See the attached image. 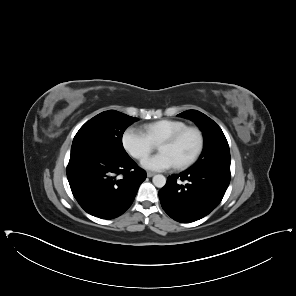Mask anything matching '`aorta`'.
<instances>
[{
	"mask_svg": "<svg viewBox=\"0 0 296 296\" xmlns=\"http://www.w3.org/2000/svg\"><path fill=\"white\" fill-rule=\"evenodd\" d=\"M152 181H153V184L158 188H162L166 184V178L162 174L155 175Z\"/></svg>",
	"mask_w": 296,
	"mask_h": 296,
	"instance_id": "1",
	"label": "aorta"
}]
</instances>
